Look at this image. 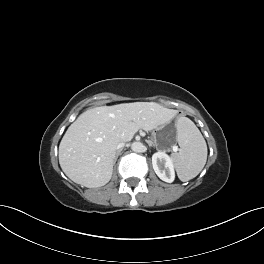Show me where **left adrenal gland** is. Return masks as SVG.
Here are the masks:
<instances>
[{"mask_svg": "<svg viewBox=\"0 0 264 264\" xmlns=\"http://www.w3.org/2000/svg\"><path fill=\"white\" fill-rule=\"evenodd\" d=\"M148 145H149V147H152V146L155 147V146H156V145H155L153 142H151V141L148 142ZM156 148H157V147H156Z\"/></svg>", "mask_w": 264, "mask_h": 264, "instance_id": "a2214340", "label": "left adrenal gland"}]
</instances>
